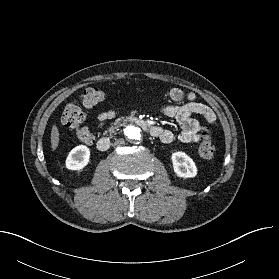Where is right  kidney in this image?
Masks as SVG:
<instances>
[{
	"label": "right kidney",
	"mask_w": 279,
	"mask_h": 279,
	"mask_svg": "<svg viewBox=\"0 0 279 279\" xmlns=\"http://www.w3.org/2000/svg\"><path fill=\"white\" fill-rule=\"evenodd\" d=\"M90 160V150L85 145L73 148L66 158V168L69 170H82L88 165Z\"/></svg>",
	"instance_id": "1"
}]
</instances>
